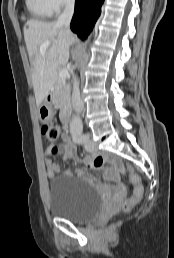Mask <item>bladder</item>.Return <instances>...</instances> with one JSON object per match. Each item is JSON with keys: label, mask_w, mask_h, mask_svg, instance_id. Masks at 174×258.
Returning <instances> with one entry per match:
<instances>
[{"label": "bladder", "mask_w": 174, "mask_h": 258, "mask_svg": "<svg viewBox=\"0 0 174 258\" xmlns=\"http://www.w3.org/2000/svg\"><path fill=\"white\" fill-rule=\"evenodd\" d=\"M52 180L48 198L52 215L74 222H86L99 215L101 195L82 176L64 173Z\"/></svg>", "instance_id": "1"}]
</instances>
